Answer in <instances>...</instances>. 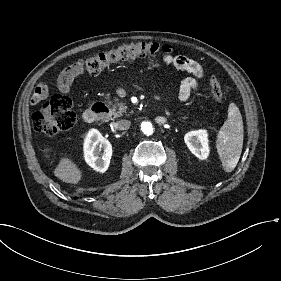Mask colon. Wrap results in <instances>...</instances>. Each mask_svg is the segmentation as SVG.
<instances>
[{"instance_id": "colon-1", "label": "colon", "mask_w": 281, "mask_h": 281, "mask_svg": "<svg viewBox=\"0 0 281 281\" xmlns=\"http://www.w3.org/2000/svg\"><path fill=\"white\" fill-rule=\"evenodd\" d=\"M167 52H170L168 46L154 42L126 43L116 49L99 52L77 61L73 70L77 74L96 75L130 59L155 58ZM210 89L218 100L223 101V87L216 78L210 80ZM75 120L71 101L64 95L52 96L33 117L35 129L48 136L69 131L74 126Z\"/></svg>"}]
</instances>
